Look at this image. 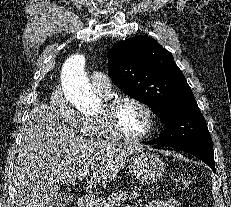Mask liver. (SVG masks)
<instances>
[{
    "label": "liver",
    "instance_id": "6515ba94",
    "mask_svg": "<svg viewBox=\"0 0 231 207\" xmlns=\"http://www.w3.org/2000/svg\"><path fill=\"white\" fill-rule=\"evenodd\" d=\"M140 150L135 144L78 136L54 107L37 104L26 121L16 158V207H53L61 184L74 185L90 171L91 181L106 188L128 157Z\"/></svg>",
    "mask_w": 231,
    "mask_h": 207
}]
</instances>
